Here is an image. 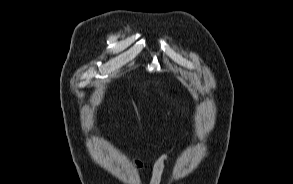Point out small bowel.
I'll use <instances>...</instances> for the list:
<instances>
[{
    "mask_svg": "<svg viewBox=\"0 0 293 184\" xmlns=\"http://www.w3.org/2000/svg\"><path fill=\"white\" fill-rule=\"evenodd\" d=\"M169 160L168 154H161L151 167L150 184H160L162 175L165 169V164ZM134 165L137 171L142 172L145 168L144 164L139 160H134Z\"/></svg>",
    "mask_w": 293,
    "mask_h": 184,
    "instance_id": "1",
    "label": "small bowel"
}]
</instances>
